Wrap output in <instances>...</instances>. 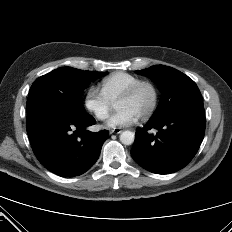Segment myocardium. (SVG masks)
<instances>
[{
  "instance_id": "myocardium-1",
  "label": "myocardium",
  "mask_w": 232,
  "mask_h": 232,
  "mask_svg": "<svg viewBox=\"0 0 232 232\" xmlns=\"http://www.w3.org/2000/svg\"><path fill=\"white\" fill-rule=\"evenodd\" d=\"M145 86H148L152 90L153 100H152L150 107L147 109V111L140 116V118L143 120L149 118L155 112L159 104L160 94H159L158 87L156 86L154 82L150 80H140L137 83L133 84L130 88H128L116 100V103L120 101L129 100L133 98L142 87H145Z\"/></svg>"
}]
</instances>
